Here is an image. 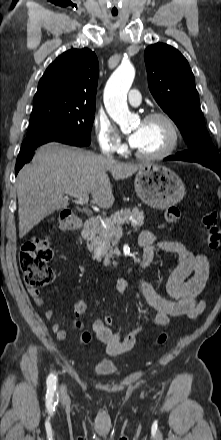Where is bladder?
<instances>
[{
	"label": "bladder",
	"mask_w": 221,
	"mask_h": 440,
	"mask_svg": "<svg viewBox=\"0 0 221 440\" xmlns=\"http://www.w3.org/2000/svg\"><path fill=\"white\" fill-rule=\"evenodd\" d=\"M93 370L100 376H111L117 372L118 367L111 360L101 359L95 363Z\"/></svg>",
	"instance_id": "bladder-1"
}]
</instances>
